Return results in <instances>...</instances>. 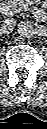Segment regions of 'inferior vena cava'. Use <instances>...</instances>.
<instances>
[{
	"instance_id": "602c4592",
	"label": "inferior vena cava",
	"mask_w": 47,
	"mask_h": 129,
	"mask_svg": "<svg viewBox=\"0 0 47 129\" xmlns=\"http://www.w3.org/2000/svg\"><path fill=\"white\" fill-rule=\"evenodd\" d=\"M15 25L16 20L14 18H8L4 21V24L2 25V31L4 33H10L13 31Z\"/></svg>"
}]
</instances>
